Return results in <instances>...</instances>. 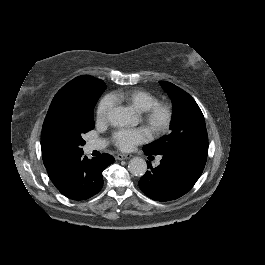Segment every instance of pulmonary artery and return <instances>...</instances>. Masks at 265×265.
Returning a JSON list of instances; mask_svg holds the SVG:
<instances>
[{"label": "pulmonary artery", "mask_w": 265, "mask_h": 265, "mask_svg": "<svg viewBox=\"0 0 265 265\" xmlns=\"http://www.w3.org/2000/svg\"><path fill=\"white\" fill-rule=\"evenodd\" d=\"M105 146L101 143H92L91 144V148L92 149H103ZM160 160V158L158 159V161Z\"/></svg>", "instance_id": "e3ab8cb5"}]
</instances>
